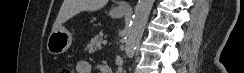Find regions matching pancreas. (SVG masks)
<instances>
[{"label": "pancreas", "instance_id": "obj_1", "mask_svg": "<svg viewBox=\"0 0 244 73\" xmlns=\"http://www.w3.org/2000/svg\"><path fill=\"white\" fill-rule=\"evenodd\" d=\"M102 37L95 36L91 39L90 43L86 47V51L89 53H95L96 51L101 49Z\"/></svg>", "mask_w": 244, "mask_h": 73}]
</instances>
